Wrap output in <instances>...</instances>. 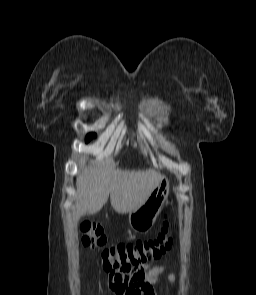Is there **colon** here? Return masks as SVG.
Instances as JSON below:
<instances>
[{"mask_svg":"<svg viewBox=\"0 0 256 295\" xmlns=\"http://www.w3.org/2000/svg\"><path fill=\"white\" fill-rule=\"evenodd\" d=\"M83 246L93 250L102 249L100 264L104 271L138 269L161 258L172 245V230L168 214H163L160 233L152 239L137 240L127 244L104 247L106 235L101 225L84 222L81 226Z\"/></svg>","mask_w":256,"mask_h":295,"instance_id":"5ec220e1","label":"colon"}]
</instances>
